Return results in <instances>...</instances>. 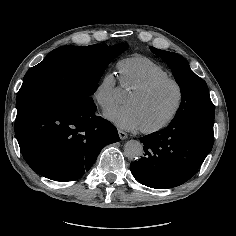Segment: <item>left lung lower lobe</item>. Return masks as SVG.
Listing matches in <instances>:
<instances>
[{"label": "left lung lower lobe", "mask_w": 236, "mask_h": 236, "mask_svg": "<svg viewBox=\"0 0 236 236\" xmlns=\"http://www.w3.org/2000/svg\"><path fill=\"white\" fill-rule=\"evenodd\" d=\"M214 118L187 117L141 138L144 156L130 164L143 185L166 189L188 181L211 151Z\"/></svg>", "instance_id": "left-lung-lower-lobe-1"}]
</instances>
